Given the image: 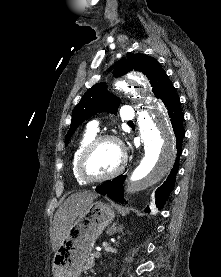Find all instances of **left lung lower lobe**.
Masks as SVG:
<instances>
[{
    "instance_id": "left-lung-lower-lobe-1",
    "label": "left lung lower lobe",
    "mask_w": 221,
    "mask_h": 277,
    "mask_svg": "<svg viewBox=\"0 0 221 277\" xmlns=\"http://www.w3.org/2000/svg\"><path fill=\"white\" fill-rule=\"evenodd\" d=\"M162 101L164 102L169 117L171 118L172 126L176 136V148H177V158L174 164V168L170 172L166 181L155 191L156 206L158 209H162L167 197L174 188L175 175L178 172V159L182 153V140L185 135L183 128L184 116L180 109V100L177 96L174 87L172 86L166 94L164 95ZM125 175H120L111 181H107L95 189L96 192L107 195L111 199L124 203L123 198V182L125 180ZM149 212V208L145 210Z\"/></svg>"
}]
</instances>
